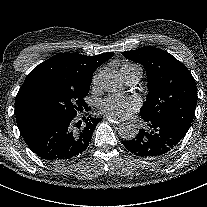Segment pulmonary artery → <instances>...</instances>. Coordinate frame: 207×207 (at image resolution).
<instances>
[{
  "mask_svg": "<svg viewBox=\"0 0 207 207\" xmlns=\"http://www.w3.org/2000/svg\"><path fill=\"white\" fill-rule=\"evenodd\" d=\"M121 72L129 84L136 83L141 77V69L137 67L127 68Z\"/></svg>",
  "mask_w": 207,
  "mask_h": 207,
  "instance_id": "e3ab8cb5",
  "label": "pulmonary artery"
}]
</instances>
